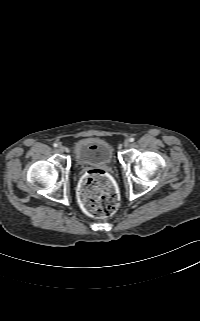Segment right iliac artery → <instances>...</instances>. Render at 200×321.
<instances>
[{"mask_svg": "<svg viewBox=\"0 0 200 321\" xmlns=\"http://www.w3.org/2000/svg\"><path fill=\"white\" fill-rule=\"evenodd\" d=\"M53 146H54V147H57V146H58V144H57V143H54V144H53Z\"/></svg>", "mask_w": 200, "mask_h": 321, "instance_id": "obj_1", "label": "right iliac artery"}]
</instances>
